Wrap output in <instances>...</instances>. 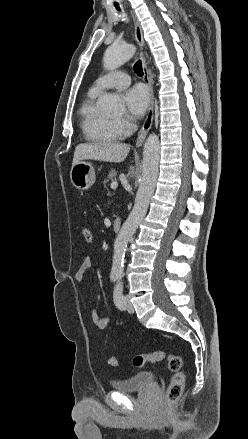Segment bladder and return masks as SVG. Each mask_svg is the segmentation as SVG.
I'll return each instance as SVG.
<instances>
[{"instance_id": "obj_1", "label": "bladder", "mask_w": 248, "mask_h": 439, "mask_svg": "<svg viewBox=\"0 0 248 439\" xmlns=\"http://www.w3.org/2000/svg\"><path fill=\"white\" fill-rule=\"evenodd\" d=\"M154 383V376L151 371H140L132 376L111 382L115 391L129 393L142 390Z\"/></svg>"}]
</instances>
